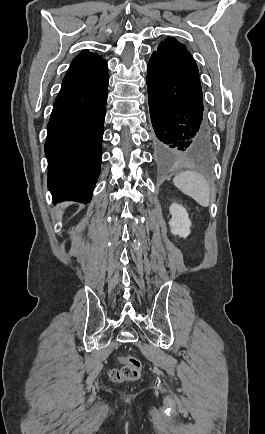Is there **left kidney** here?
<instances>
[{
    "mask_svg": "<svg viewBox=\"0 0 265 434\" xmlns=\"http://www.w3.org/2000/svg\"><path fill=\"white\" fill-rule=\"evenodd\" d=\"M169 212L172 216L169 222L171 234L180 236V238H187L190 234L191 222L185 208H182L179 204H172L169 208Z\"/></svg>",
    "mask_w": 265,
    "mask_h": 434,
    "instance_id": "5707ae66",
    "label": "left kidney"
}]
</instances>
